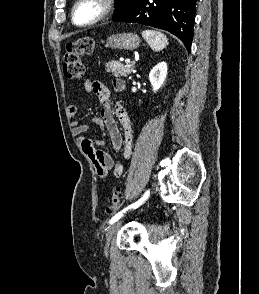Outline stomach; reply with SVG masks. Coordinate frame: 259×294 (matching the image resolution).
<instances>
[{
	"label": "stomach",
	"mask_w": 259,
	"mask_h": 294,
	"mask_svg": "<svg viewBox=\"0 0 259 294\" xmlns=\"http://www.w3.org/2000/svg\"><path fill=\"white\" fill-rule=\"evenodd\" d=\"M140 45V38L133 33H121L111 35L107 39L106 47L112 49L134 50Z\"/></svg>",
	"instance_id": "stomach-1"
}]
</instances>
